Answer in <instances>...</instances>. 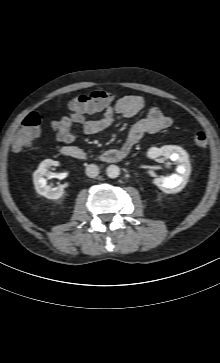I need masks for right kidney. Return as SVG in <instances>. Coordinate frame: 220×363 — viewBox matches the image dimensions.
Returning a JSON list of instances; mask_svg holds the SVG:
<instances>
[{"instance_id":"ca27d5eb","label":"right kidney","mask_w":220,"mask_h":363,"mask_svg":"<svg viewBox=\"0 0 220 363\" xmlns=\"http://www.w3.org/2000/svg\"><path fill=\"white\" fill-rule=\"evenodd\" d=\"M58 165V161L46 159L40 163L38 169L33 173V183L37 193L48 199H59L63 195L64 189L69 186V183H64L57 187L47 184L44 178L47 173V167Z\"/></svg>"}]
</instances>
